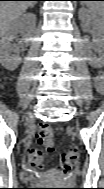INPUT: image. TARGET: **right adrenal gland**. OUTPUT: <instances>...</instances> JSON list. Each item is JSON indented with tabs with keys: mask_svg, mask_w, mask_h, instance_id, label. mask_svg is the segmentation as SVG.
<instances>
[{
	"mask_svg": "<svg viewBox=\"0 0 104 189\" xmlns=\"http://www.w3.org/2000/svg\"><path fill=\"white\" fill-rule=\"evenodd\" d=\"M34 5H35V3L31 4V5H30V7H31V8H33V7H34Z\"/></svg>",
	"mask_w": 104,
	"mask_h": 189,
	"instance_id": "right-adrenal-gland-1",
	"label": "right adrenal gland"
}]
</instances>
